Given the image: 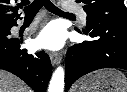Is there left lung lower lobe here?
Listing matches in <instances>:
<instances>
[{"label": "left lung lower lobe", "instance_id": "1", "mask_svg": "<svg viewBox=\"0 0 127 92\" xmlns=\"http://www.w3.org/2000/svg\"><path fill=\"white\" fill-rule=\"evenodd\" d=\"M92 41L75 44L66 55L65 87L83 75L102 68L127 69V25L101 22L84 31Z\"/></svg>", "mask_w": 127, "mask_h": 92}]
</instances>
